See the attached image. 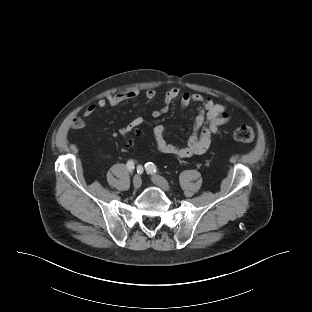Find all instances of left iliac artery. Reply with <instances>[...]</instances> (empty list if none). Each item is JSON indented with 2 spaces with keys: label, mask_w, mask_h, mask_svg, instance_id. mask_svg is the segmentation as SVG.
Instances as JSON below:
<instances>
[{
  "label": "left iliac artery",
  "mask_w": 312,
  "mask_h": 312,
  "mask_svg": "<svg viewBox=\"0 0 312 312\" xmlns=\"http://www.w3.org/2000/svg\"><path fill=\"white\" fill-rule=\"evenodd\" d=\"M145 168L147 170L148 173H156L157 172V168L156 166L152 163V162H148L145 164Z\"/></svg>",
  "instance_id": "44dca946"
}]
</instances>
